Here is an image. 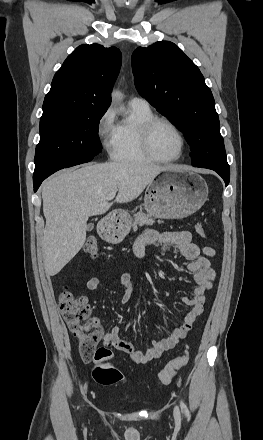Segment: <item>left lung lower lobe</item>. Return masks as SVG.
<instances>
[{"label":"left lung lower lobe","mask_w":263,"mask_h":440,"mask_svg":"<svg viewBox=\"0 0 263 440\" xmlns=\"http://www.w3.org/2000/svg\"><path fill=\"white\" fill-rule=\"evenodd\" d=\"M208 169H212V168H208ZM215 172H217L225 181V185L227 186L229 184V180H230V170H218V169H212Z\"/></svg>","instance_id":"left-lung-lower-lobe-1"}]
</instances>
